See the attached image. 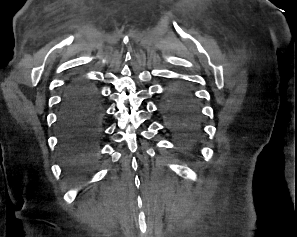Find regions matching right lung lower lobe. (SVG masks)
<instances>
[{"instance_id":"1","label":"right lung lower lobe","mask_w":297,"mask_h":237,"mask_svg":"<svg viewBox=\"0 0 297 237\" xmlns=\"http://www.w3.org/2000/svg\"><path fill=\"white\" fill-rule=\"evenodd\" d=\"M100 114L94 89L87 83L72 82L59 118V149L68 170L81 172L95 163Z\"/></svg>"}]
</instances>
